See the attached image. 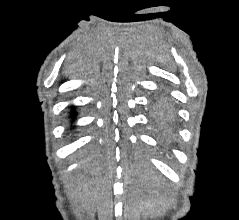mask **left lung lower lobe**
I'll return each mask as SVG.
<instances>
[{"mask_svg":"<svg viewBox=\"0 0 239 220\" xmlns=\"http://www.w3.org/2000/svg\"><path fill=\"white\" fill-rule=\"evenodd\" d=\"M163 130L167 131L168 127L166 126V124L163 125Z\"/></svg>","mask_w":239,"mask_h":220,"instance_id":"obj_1","label":"left lung lower lobe"}]
</instances>
